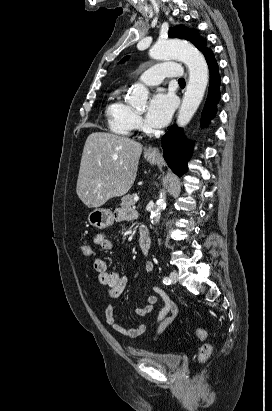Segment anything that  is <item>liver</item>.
I'll return each instance as SVG.
<instances>
[{"label": "liver", "mask_w": 272, "mask_h": 411, "mask_svg": "<svg viewBox=\"0 0 272 411\" xmlns=\"http://www.w3.org/2000/svg\"><path fill=\"white\" fill-rule=\"evenodd\" d=\"M142 145L128 137L105 132L90 134L85 142L76 193L89 208L104 205L132 187Z\"/></svg>", "instance_id": "liver-1"}]
</instances>
